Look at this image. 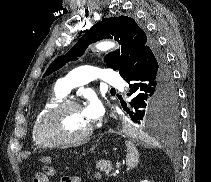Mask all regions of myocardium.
I'll return each instance as SVG.
<instances>
[{
	"instance_id": "myocardium-1",
	"label": "myocardium",
	"mask_w": 211,
	"mask_h": 182,
	"mask_svg": "<svg viewBox=\"0 0 211 182\" xmlns=\"http://www.w3.org/2000/svg\"><path fill=\"white\" fill-rule=\"evenodd\" d=\"M81 108L82 106L80 103L74 100H62L52 108H50L39 120L37 127H36V138L38 143L43 147H57L62 145H74V144H81L89 139L92 135L94 127L91 124L90 127L84 132L82 135L75 137V138H65V139H50L46 135V127L48 123L53 119L56 115L61 113L67 108Z\"/></svg>"
}]
</instances>
